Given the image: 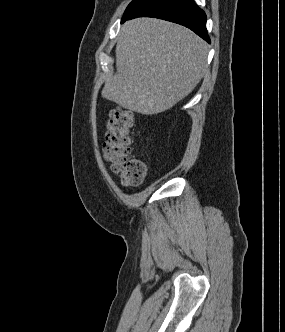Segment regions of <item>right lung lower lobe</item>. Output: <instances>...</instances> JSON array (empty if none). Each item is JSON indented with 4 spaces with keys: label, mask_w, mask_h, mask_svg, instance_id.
Segmentation results:
<instances>
[{
    "label": "right lung lower lobe",
    "mask_w": 285,
    "mask_h": 332,
    "mask_svg": "<svg viewBox=\"0 0 285 332\" xmlns=\"http://www.w3.org/2000/svg\"><path fill=\"white\" fill-rule=\"evenodd\" d=\"M137 17H155L181 24L210 43L206 29V15L194 0H148L121 23Z\"/></svg>",
    "instance_id": "obj_1"
}]
</instances>
